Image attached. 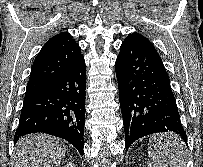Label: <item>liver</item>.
Here are the masks:
<instances>
[{
    "label": "liver",
    "mask_w": 203,
    "mask_h": 167,
    "mask_svg": "<svg viewBox=\"0 0 203 167\" xmlns=\"http://www.w3.org/2000/svg\"><path fill=\"white\" fill-rule=\"evenodd\" d=\"M66 154L57 138L36 133L21 138L14 150L15 167H57Z\"/></svg>",
    "instance_id": "6515ba94"
}]
</instances>
